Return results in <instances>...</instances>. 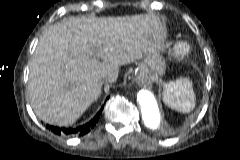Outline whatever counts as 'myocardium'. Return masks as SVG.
Wrapping results in <instances>:
<instances>
[{
    "label": "myocardium",
    "mask_w": 240,
    "mask_h": 160,
    "mask_svg": "<svg viewBox=\"0 0 240 160\" xmlns=\"http://www.w3.org/2000/svg\"><path fill=\"white\" fill-rule=\"evenodd\" d=\"M191 53V46L186 41H178L174 45L173 54L178 59H184Z\"/></svg>",
    "instance_id": "obj_1"
}]
</instances>
